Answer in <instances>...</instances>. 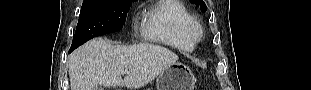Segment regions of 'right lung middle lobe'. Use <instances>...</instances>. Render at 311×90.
<instances>
[{
  "instance_id": "dd1d6c3e",
  "label": "right lung middle lobe",
  "mask_w": 311,
  "mask_h": 90,
  "mask_svg": "<svg viewBox=\"0 0 311 90\" xmlns=\"http://www.w3.org/2000/svg\"><path fill=\"white\" fill-rule=\"evenodd\" d=\"M132 0H84L71 45L77 48L102 34L122 29Z\"/></svg>"
}]
</instances>
